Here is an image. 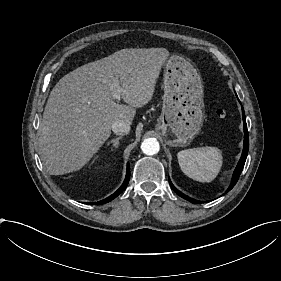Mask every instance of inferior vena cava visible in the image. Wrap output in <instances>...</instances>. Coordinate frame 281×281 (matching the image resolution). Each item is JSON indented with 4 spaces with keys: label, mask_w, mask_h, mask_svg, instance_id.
Instances as JSON below:
<instances>
[{
    "label": "inferior vena cava",
    "mask_w": 281,
    "mask_h": 281,
    "mask_svg": "<svg viewBox=\"0 0 281 281\" xmlns=\"http://www.w3.org/2000/svg\"><path fill=\"white\" fill-rule=\"evenodd\" d=\"M112 132L115 135H128L130 132V123L118 120L112 124Z\"/></svg>",
    "instance_id": "602c4592"
}]
</instances>
